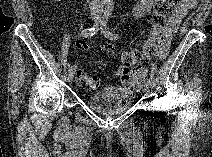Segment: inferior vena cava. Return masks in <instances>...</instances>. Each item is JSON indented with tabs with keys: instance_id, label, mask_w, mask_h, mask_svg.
Wrapping results in <instances>:
<instances>
[{
	"instance_id": "obj_1",
	"label": "inferior vena cava",
	"mask_w": 212,
	"mask_h": 157,
	"mask_svg": "<svg viewBox=\"0 0 212 157\" xmlns=\"http://www.w3.org/2000/svg\"><path fill=\"white\" fill-rule=\"evenodd\" d=\"M89 7L91 11L100 10L101 9V1L100 0H89Z\"/></svg>"
}]
</instances>
